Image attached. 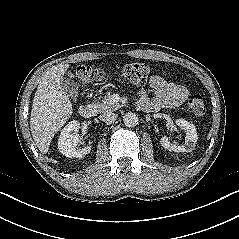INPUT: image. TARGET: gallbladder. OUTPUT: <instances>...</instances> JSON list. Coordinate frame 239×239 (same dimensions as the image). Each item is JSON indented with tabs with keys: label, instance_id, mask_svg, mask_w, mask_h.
I'll use <instances>...</instances> for the list:
<instances>
[{
	"label": "gallbladder",
	"instance_id": "1",
	"mask_svg": "<svg viewBox=\"0 0 239 239\" xmlns=\"http://www.w3.org/2000/svg\"><path fill=\"white\" fill-rule=\"evenodd\" d=\"M61 87L72 98L78 95V85L73 79L63 77L61 79Z\"/></svg>",
	"mask_w": 239,
	"mask_h": 239
}]
</instances>
